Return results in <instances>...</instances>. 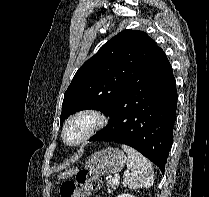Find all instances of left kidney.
I'll return each mask as SVG.
<instances>
[{
    "instance_id": "1",
    "label": "left kidney",
    "mask_w": 209,
    "mask_h": 197,
    "mask_svg": "<svg viewBox=\"0 0 209 197\" xmlns=\"http://www.w3.org/2000/svg\"><path fill=\"white\" fill-rule=\"evenodd\" d=\"M117 197H135V196H133L131 194H120Z\"/></svg>"
}]
</instances>
